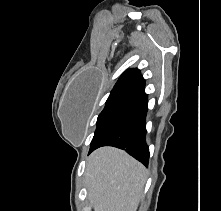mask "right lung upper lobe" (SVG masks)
I'll return each instance as SVG.
<instances>
[{"label":"right lung upper lobe","mask_w":221,"mask_h":211,"mask_svg":"<svg viewBox=\"0 0 221 211\" xmlns=\"http://www.w3.org/2000/svg\"><path fill=\"white\" fill-rule=\"evenodd\" d=\"M144 88L145 80L140 71L138 69H130L121 75L111 92L124 90L140 92Z\"/></svg>","instance_id":"obj_1"}]
</instances>
